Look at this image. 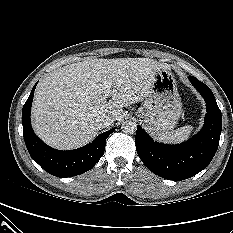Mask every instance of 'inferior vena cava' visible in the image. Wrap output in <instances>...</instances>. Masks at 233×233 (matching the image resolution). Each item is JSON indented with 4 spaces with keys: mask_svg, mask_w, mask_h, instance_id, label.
Segmentation results:
<instances>
[{
    "mask_svg": "<svg viewBox=\"0 0 233 233\" xmlns=\"http://www.w3.org/2000/svg\"><path fill=\"white\" fill-rule=\"evenodd\" d=\"M114 122V118L110 115H101L96 119V125L99 129L110 126Z\"/></svg>",
    "mask_w": 233,
    "mask_h": 233,
    "instance_id": "602c4592",
    "label": "inferior vena cava"
}]
</instances>
